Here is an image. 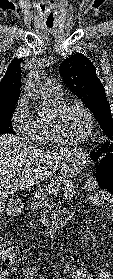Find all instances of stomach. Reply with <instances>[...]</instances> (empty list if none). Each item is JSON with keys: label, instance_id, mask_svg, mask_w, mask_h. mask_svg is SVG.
<instances>
[{"label": "stomach", "instance_id": "stomach-1", "mask_svg": "<svg viewBox=\"0 0 113 279\" xmlns=\"http://www.w3.org/2000/svg\"><path fill=\"white\" fill-rule=\"evenodd\" d=\"M91 162L90 154L82 148L72 150L68 159L61 166L64 178H72L82 172L85 166Z\"/></svg>", "mask_w": 113, "mask_h": 279}]
</instances>
